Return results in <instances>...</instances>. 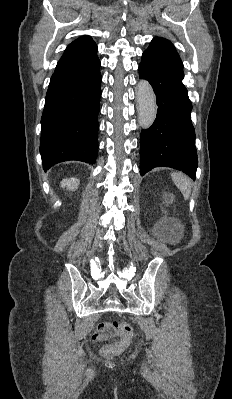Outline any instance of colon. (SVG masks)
Masks as SVG:
<instances>
[{
    "label": "colon",
    "mask_w": 232,
    "mask_h": 399,
    "mask_svg": "<svg viewBox=\"0 0 232 399\" xmlns=\"http://www.w3.org/2000/svg\"><path fill=\"white\" fill-rule=\"evenodd\" d=\"M130 327V321H99L98 326H95V333L99 341H116L120 328ZM104 357L110 358L111 352L105 351Z\"/></svg>",
    "instance_id": "colon-1"
}]
</instances>
